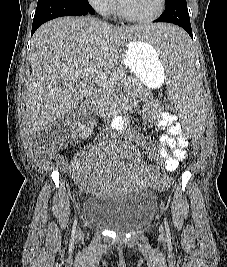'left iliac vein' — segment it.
I'll return each instance as SVG.
<instances>
[{
    "mask_svg": "<svg viewBox=\"0 0 227 267\" xmlns=\"http://www.w3.org/2000/svg\"><path fill=\"white\" fill-rule=\"evenodd\" d=\"M159 232L161 235H163V227L161 225L159 226Z\"/></svg>",
    "mask_w": 227,
    "mask_h": 267,
    "instance_id": "1",
    "label": "left iliac vein"
}]
</instances>
